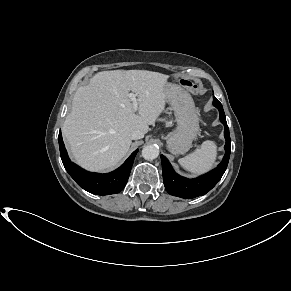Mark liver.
Instances as JSON below:
<instances>
[{
	"mask_svg": "<svg viewBox=\"0 0 291 291\" xmlns=\"http://www.w3.org/2000/svg\"><path fill=\"white\" fill-rule=\"evenodd\" d=\"M167 79L146 70H113L99 72L79 87L62 127L75 161L92 171L118 165L130 148L132 132L146 134L163 112ZM129 91L137 96L138 114Z\"/></svg>",
	"mask_w": 291,
	"mask_h": 291,
	"instance_id": "liver-1",
	"label": "liver"
}]
</instances>
